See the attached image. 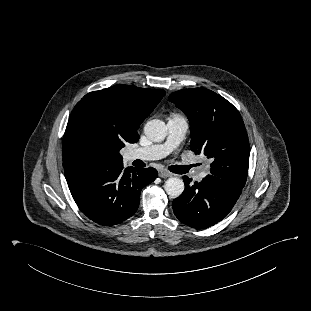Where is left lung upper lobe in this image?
I'll use <instances>...</instances> for the list:
<instances>
[{"label": "left lung upper lobe", "instance_id": "1", "mask_svg": "<svg viewBox=\"0 0 311 311\" xmlns=\"http://www.w3.org/2000/svg\"><path fill=\"white\" fill-rule=\"evenodd\" d=\"M169 100L190 121V149L212 159L210 173L243 188L249 166V140L238 110L205 88L173 92Z\"/></svg>", "mask_w": 311, "mask_h": 311}]
</instances>
